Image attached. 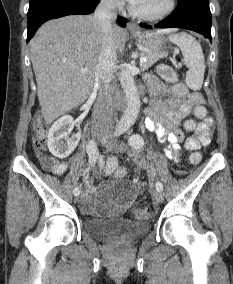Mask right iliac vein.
Returning <instances> with one entry per match:
<instances>
[{
    "mask_svg": "<svg viewBox=\"0 0 233 284\" xmlns=\"http://www.w3.org/2000/svg\"><path fill=\"white\" fill-rule=\"evenodd\" d=\"M94 139L97 143H103L105 140H106V137L100 133H95L94 134ZM75 201L78 200V195H75V198H74Z\"/></svg>",
    "mask_w": 233,
    "mask_h": 284,
    "instance_id": "1",
    "label": "right iliac vein"
}]
</instances>
